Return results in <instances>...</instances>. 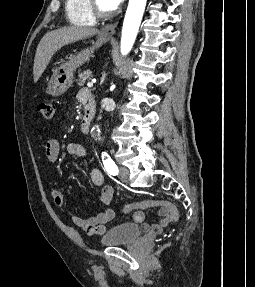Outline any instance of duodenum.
Wrapping results in <instances>:
<instances>
[{"label": "duodenum", "mask_w": 255, "mask_h": 287, "mask_svg": "<svg viewBox=\"0 0 255 287\" xmlns=\"http://www.w3.org/2000/svg\"><path fill=\"white\" fill-rule=\"evenodd\" d=\"M79 99L84 106V114L80 124V131L83 135H85L89 132L94 118L95 102L91 93L87 90H83L79 93Z\"/></svg>", "instance_id": "obj_1"}]
</instances>
